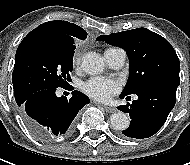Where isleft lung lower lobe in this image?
Returning a JSON list of instances; mask_svg holds the SVG:
<instances>
[{"label":"left lung lower lobe","mask_w":190,"mask_h":165,"mask_svg":"<svg viewBox=\"0 0 190 165\" xmlns=\"http://www.w3.org/2000/svg\"><path fill=\"white\" fill-rule=\"evenodd\" d=\"M178 85L156 82L137 90L132 104L121 105L120 111L129 113L132 121L122 133L131 138L143 139L154 135L165 123L176 102ZM127 95H120L124 98Z\"/></svg>","instance_id":"0a47b994"}]
</instances>
